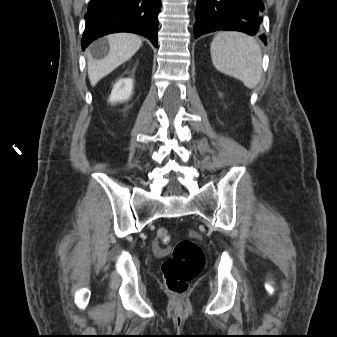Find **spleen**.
I'll return each mask as SVG.
<instances>
[{
  "instance_id": "spleen-1",
  "label": "spleen",
  "mask_w": 337,
  "mask_h": 337,
  "mask_svg": "<svg viewBox=\"0 0 337 337\" xmlns=\"http://www.w3.org/2000/svg\"><path fill=\"white\" fill-rule=\"evenodd\" d=\"M214 67L249 88H255L262 74V53L256 39L240 32H220L211 43Z\"/></svg>"
}]
</instances>
